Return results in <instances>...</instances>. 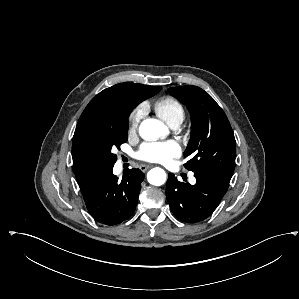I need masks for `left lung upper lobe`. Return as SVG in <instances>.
Wrapping results in <instances>:
<instances>
[{"label":"left lung upper lobe","instance_id":"1","mask_svg":"<svg viewBox=\"0 0 299 299\" xmlns=\"http://www.w3.org/2000/svg\"><path fill=\"white\" fill-rule=\"evenodd\" d=\"M168 92L184 103L191 115V138L184 152L191 159L184 164L185 168L213 172L230 181L235 168L236 142L224 111L199 87H174Z\"/></svg>","mask_w":299,"mask_h":299}]
</instances>
